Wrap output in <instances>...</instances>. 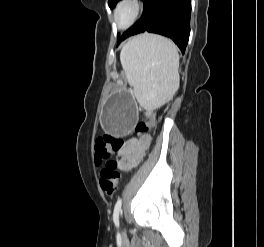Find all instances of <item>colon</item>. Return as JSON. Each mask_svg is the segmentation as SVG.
Returning a JSON list of instances; mask_svg holds the SVG:
<instances>
[{"label": "colon", "mask_w": 264, "mask_h": 247, "mask_svg": "<svg viewBox=\"0 0 264 247\" xmlns=\"http://www.w3.org/2000/svg\"><path fill=\"white\" fill-rule=\"evenodd\" d=\"M155 123L154 116L147 121H141L137 124L135 132L137 134L147 132ZM124 145L121 138L106 134L99 138L94 146L95 162L97 164L104 163V167L100 171L99 185L106 195H113L117 189L121 174L119 171L118 161L112 159V154L119 151Z\"/></svg>", "instance_id": "colon-1"}]
</instances>
